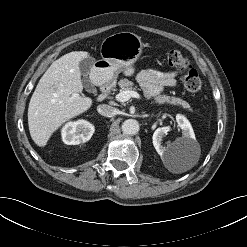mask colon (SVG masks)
Masks as SVG:
<instances>
[{"instance_id": "obj_1", "label": "colon", "mask_w": 247, "mask_h": 247, "mask_svg": "<svg viewBox=\"0 0 247 247\" xmlns=\"http://www.w3.org/2000/svg\"><path fill=\"white\" fill-rule=\"evenodd\" d=\"M167 62L169 66L183 73V84L187 91L196 93L201 89V78L198 71L193 68L181 52L171 50L167 55Z\"/></svg>"}]
</instances>
